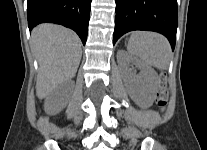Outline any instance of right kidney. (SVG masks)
<instances>
[{"instance_id": "ca27d5eb", "label": "right kidney", "mask_w": 207, "mask_h": 150, "mask_svg": "<svg viewBox=\"0 0 207 150\" xmlns=\"http://www.w3.org/2000/svg\"><path fill=\"white\" fill-rule=\"evenodd\" d=\"M59 95H60V91L54 90L47 96L44 104V109L46 112L57 113L64 108L65 104L57 103V98Z\"/></svg>"}]
</instances>
